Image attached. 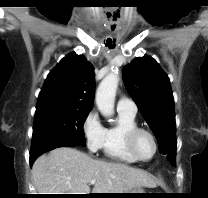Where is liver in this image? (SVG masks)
<instances>
[{"label":"liver","instance_id":"obj_1","mask_svg":"<svg viewBox=\"0 0 208 198\" xmlns=\"http://www.w3.org/2000/svg\"><path fill=\"white\" fill-rule=\"evenodd\" d=\"M32 179L38 194L123 193L138 187H155L147 172L126 164L95 160L69 147L41 155L32 166Z\"/></svg>","mask_w":208,"mask_h":198}]
</instances>
